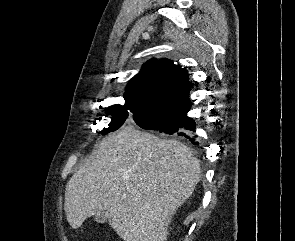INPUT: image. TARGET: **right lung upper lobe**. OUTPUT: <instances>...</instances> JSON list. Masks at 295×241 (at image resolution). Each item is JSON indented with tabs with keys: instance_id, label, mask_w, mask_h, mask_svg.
<instances>
[{
	"instance_id": "1",
	"label": "right lung upper lobe",
	"mask_w": 295,
	"mask_h": 241,
	"mask_svg": "<svg viewBox=\"0 0 295 241\" xmlns=\"http://www.w3.org/2000/svg\"><path fill=\"white\" fill-rule=\"evenodd\" d=\"M190 89L185 68L168 59H152L130 80L124 99L126 103L169 115L191 104Z\"/></svg>"
}]
</instances>
